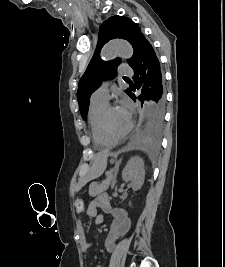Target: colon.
Returning a JSON list of instances; mask_svg holds the SVG:
<instances>
[{
	"mask_svg": "<svg viewBox=\"0 0 225 267\" xmlns=\"http://www.w3.org/2000/svg\"><path fill=\"white\" fill-rule=\"evenodd\" d=\"M74 209L77 213H82L84 210V202L81 198H77L74 202Z\"/></svg>",
	"mask_w": 225,
	"mask_h": 267,
	"instance_id": "5ec220e1",
	"label": "colon"
}]
</instances>
